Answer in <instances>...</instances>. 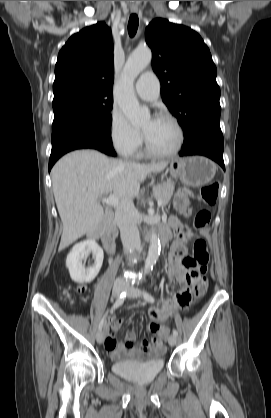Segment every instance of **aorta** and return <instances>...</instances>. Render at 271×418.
<instances>
[{
  "mask_svg": "<svg viewBox=\"0 0 271 418\" xmlns=\"http://www.w3.org/2000/svg\"><path fill=\"white\" fill-rule=\"evenodd\" d=\"M152 59L148 48L136 49L131 53L123 69L117 92V103L132 125H142L150 119L148 108L140 106L134 92V81L149 65ZM160 240L154 229L151 231L150 246L145 261L144 272L147 273L156 264L160 255Z\"/></svg>",
  "mask_w": 271,
  "mask_h": 418,
  "instance_id": "1",
  "label": "aorta"
}]
</instances>
